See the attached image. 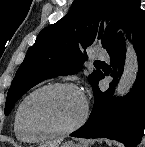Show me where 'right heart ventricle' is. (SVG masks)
<instances>
[{
	"instance_id": "e07e8e85",
	"label": "right heart ventricle",
	"mask_w": 145,
	"mask_h": 147,
	"mask_svg": "<svg viewBox=\"0 0 145 147\" xmlns=\"http://www.w3.org/2000/svg\"><path fill=\"white\" fill-rule=\"evenodd\" d=\"M21 103L19 104L16 110L15 118H14V133H15L16 138L22 142H34V141L42 140L45 137L39 134L29 133L25 131L24 128L22 127L19 121V108H20Z\"/></svg>"
}]
</instances>
